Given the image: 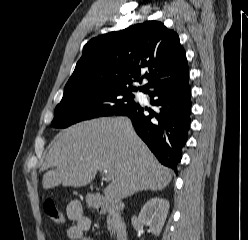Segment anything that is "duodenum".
<instances>
[{"label": "duodenum", "instance_id": "duodenum-1", "mask_svg": "<svg viewBox=\"0 0 248 240\" xmlns=\"http://www.w3.org/2000/svg\"><path fill=\"white\" fill-rule=\"evenodd\" d=\"M92 207L100 214H111L114 220L115 240H128L126 225L120 220L119 214L123 210V204L118 200H109L95 195Z\"/></svg>", "mask_w": 248, "mask_h": 240}]
</instances>
